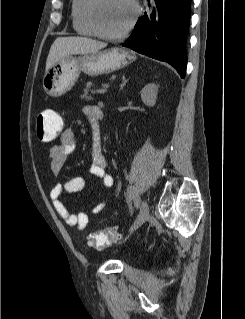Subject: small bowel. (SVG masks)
<instances>
[{
  "label": "small bowel",
  "instance_id": "small-bowel-1",
  "mask_svg": "<svg viewBox=\"0 0 245 319\" xmlns=\"http://www.w3.org/2000/svg\"><path fill=\"white\" fill-rule=\"evenodd\" d=\"M82 116L88 119L91 123V130L93 136L92 156L93 163L90 167V173L96 176L106 188H112L114 185L113 176L107 171L109 162L102 152L100 131L98 120L102 117V111L98 106L85 105L81 110ZM77 137L75 132L70 126L63 129L60 135V141L50 148V168L55 176H59L63 170L67 156L73 152L76 147ZM85 187V179L80 176L72 177L64 183L56 184L50 191V198L54 205L55 210L64 222L78 231H83L88 225L89 214L80 211L72 213L64 205L61 200L63 193H78ZM107 207V202L97 204L91 210L92 215H99Z\"/></svg>",
  "mask_w": 245,
  "mask_h": 319
}]
</instances>
